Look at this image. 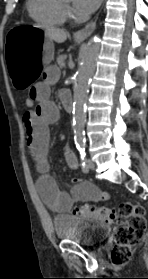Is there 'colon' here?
Masks as SVG:
<instances>
[{"mask_svg":"<svg viewBox=\"0 0 148 279\" xmlns=\"http://www.w3.org/2000/svg\"><path fill=\"white\" fill-rule=\"evenodd\" d=\"M34 103L35 98L28 94L25 105L30 108ZM72 213L110 224H121L115 232V245L111 253L112 262L116 265L129 260L134 246L143 237L147 228L144 207L131 201L120 203L115 210L104 206L81 205L75 207Z\"/></svg>","mask_w":148,"mask_h":279,"instance_id":"obj_1","label":"colon"}]
</instances>
